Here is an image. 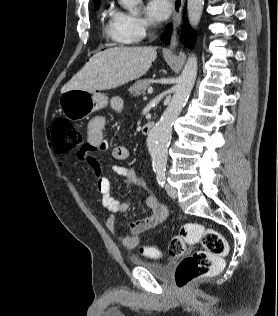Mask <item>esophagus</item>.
Segmentation results:
<instances>
[{
	"mask_svg": "<svg viewBox=\"0 0 278 316\" xmlns=\"http://www.w3.org/2000/svg\"><path fill=\"white\" fill-rule=\"evenodd\" d=\"M173 1V16L172 25L173 31L171 35L169 50H174L178 42V31L180 29L182 12L185 4V0H172Z\"/></svg>",
	"mask_w": 278,
	"mask_h": 316,
	"instance_id": "1",
	"label": "esophagus"
}]
</instances>
